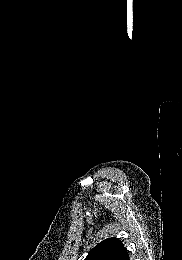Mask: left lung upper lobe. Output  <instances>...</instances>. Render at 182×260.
<instances>
[{"mask_svg": "<svg viewBox=\"0 0 182 260\" xmlns=\"http://www.w3.org/2000/svg\"><path fill=\"white\" fill-rule=\"evenodd\" d=\"M127 258L128 252L122 242L112 237L92 248L85 260H127Z\"/></svg>", "mask_w": 182, "mask_h": 260, "instance_id": "left-lung-upper-lobe-1", "label": "left lung upper lobe"}]
</instances>
